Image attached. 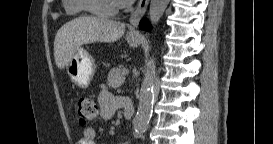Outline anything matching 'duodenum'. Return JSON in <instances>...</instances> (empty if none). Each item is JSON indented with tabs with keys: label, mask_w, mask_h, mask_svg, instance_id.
Wrapping results in <instances>:
<instances>
[{
	"label": "duodenum",
	"mask_w": 273,
	"mask_h": 144,
	"mask_svg": "<svg viewBox=\"0 0 273 144\" xmlns=\"http://www.w3.org/2000/svg\"><path fill=\"white\" fill-rule=\"evenodd\" d=\"M123 110H124V117L126 120H131L134 117V105L131 100L122 97L121 98Z\"/></svg>",
	"instance_id": "410a0bca"
}]
</instances>
